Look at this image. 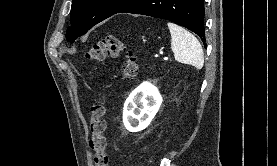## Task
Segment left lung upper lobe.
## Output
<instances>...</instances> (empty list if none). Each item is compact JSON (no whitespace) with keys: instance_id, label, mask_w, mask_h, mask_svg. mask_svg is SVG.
<instances>
[{"instance_id":"obj_1","label":"left lung upper lobe","mask_w":277,"mask_h":166,"mask_svg":"<svg viewBox=\"0 0 277 166\" xmlns=\"http://www.w3.org/2000/svg\"><path fill=\"white\" fill-rule=\"evenodd\" d=\"M134 0H73L71 8V27L66 39L73 42L97 23L118 13Z\"/></svg>"}]
</instances>
